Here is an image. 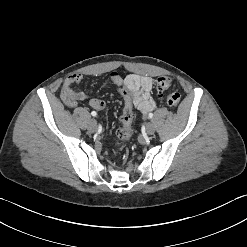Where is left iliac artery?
Wrapping results in <instances>:
<instances>
[{
	"label": "left iliac artery",
	"instance_id": "obj_1",
	"mask_svg": "<svg viewBox=\"0 0 247 247\" xmlns=\"http://www.w3.org/2000/svg\"><path fill=\"white\" fill-rule=\"evenodd\" d=\"M148 117L151 119V118L153 117V114L150 113V114L148 115Z\"/></svg>",
	"mask_w": 247,
	"mask_h": 247
}]
</instances>
